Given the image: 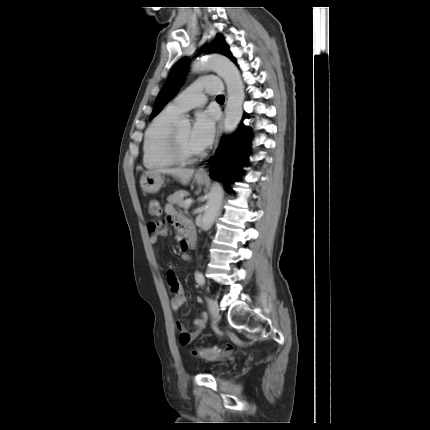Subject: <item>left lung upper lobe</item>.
Returning a JSON list of instances; mask_svg holds the SVG:
<instances>
[{
	"mask_svg": "<svg viewBox=\"0 0 430 430\" xmlns=\"http://www.w3.org/2000/svg\"><path fill=\"white\" fill-rule=\"evenodd\" d=\"M209 50L212 52L220 53L231 59L236 63L235 58L231 54L228 45L221 36H217L215 40L209 46ZM187 58H182L179 60L171 69L169 78L162 88L161 92L157 96L151 118L156 116L162 109L163 106L173 98L176 94L177 89L182 84L183 76L187 68Z\"/></svg>",
	"mask_w": 430,
	"mask_h": 430,
	"instance_id": "5c2ea615",
	"label": "left lung upper lobe"
}]
</instances>
